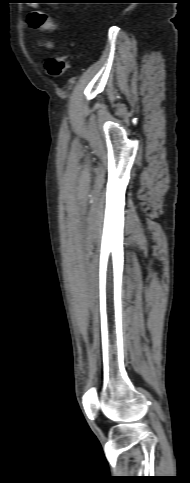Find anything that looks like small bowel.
Segmentation results:
<instances>
[{"label":"small bowel","mask_w":190,"mask_h":483,"mask_svg":"<svg viewBox=\"0 0 190 483\" xmlns=\"http://www.w3.org/2000/svg\"><path fill=\"white\" fill-rule=\"evenodd\" d=\"M28 22L31 27L45 32H51L55 27L53 21L41 12L30 13L28 16ZM39 45L49 48L52 46V43L49 41H41L39 42Z\"/></svg>","instance_id":"c3829d8e"}]
</instances>
